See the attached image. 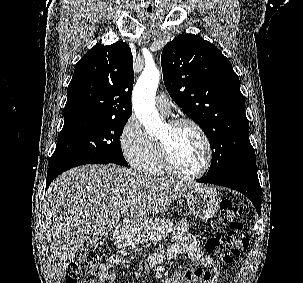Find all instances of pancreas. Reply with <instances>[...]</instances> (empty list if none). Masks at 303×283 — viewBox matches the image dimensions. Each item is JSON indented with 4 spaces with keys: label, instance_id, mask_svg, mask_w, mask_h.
I'll return each instance as SVG.
<instances>
[{
    "label": "pancreas",
    "instance_id": "obj_1",
    "mask_svg": "<svg viewBox=\"0 0 303 283\" xmlns=\"http://www.w3.org/2000/svg\"><path fill=\"white\" fill-rule=\"evenodd\" d=\"M173 229L172 221L168 219L147 220L127 229L118 246H136L142 243H157L165 239Z\"/></svg>",
    "mask_w": 303,
    "mask_h": 283
}]
</instances>
